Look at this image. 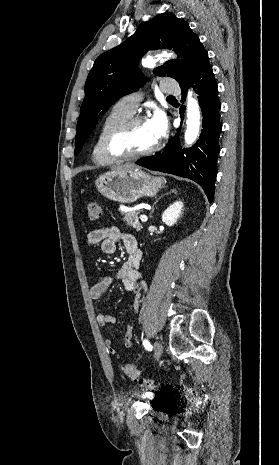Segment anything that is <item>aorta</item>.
<instances>
[{"label": "aorta", "instance_id": "aorta-1", "mask_svg": "<svg viewBox=\"0 0 279 465\" xmlns=\"http://www.w3.org/2000/svg\"><path fill=\"white\" fill-rule=\"evenodd\" d=\"M161 57H171L170 54L164 52L162 55L158 56V59ZM156 59L148 58V63L155 62ZM200 130V110L198 102L192 97V93L188 92L187 95V121H186V131H185V142L187 144H192L198 137Z\"/></svg>", "mask_w": 279, "mask_h": 465}]
</instances>
